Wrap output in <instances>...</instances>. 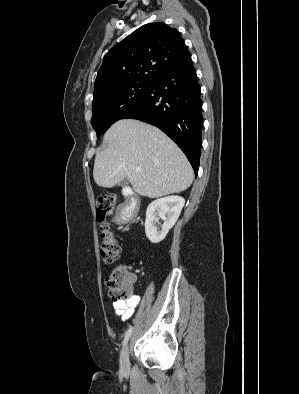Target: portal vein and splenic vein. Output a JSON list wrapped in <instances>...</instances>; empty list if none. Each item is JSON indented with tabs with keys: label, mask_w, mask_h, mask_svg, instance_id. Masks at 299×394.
<instances>
[{
	"label": "portal vein and splenic vein",
	"mask_w": 299,
	"mask_h": 394,
	"mask_svg": "<svg viewBox=\"0 0 299 394\" xmlns=\"http://www.w3.org/2000/svg\"><path fill=\"white\" fill-rule=\"evenodd\" d=\"M136 171H137V172H141L142 169H141L140 167H137V168H136Z\"/></svg>",
	"instance_id": "1"
}]
</instances>
